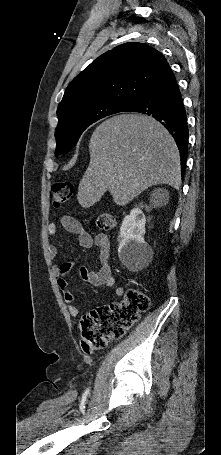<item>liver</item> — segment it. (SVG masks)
Returning a JSON list of instances; mask_svg holds the SVG:
<instances>
[{
	"label": "liver",
	"instance_id": "obj_1",
	"mask_svg": "<svg viewBox=\"0 0 221 455\" xmlns=\"http://www.w3.org/2000/svg\"><path fill=\"white\" fill-rule=\"evenodd\" d=\"M90 163L78 187L84 208L109 191L124 206L148 187L181 184L180 155L170 133L146 115L125 113L101 123L89 142Z\"/></svg>",
	"mask_w": 221,
	"mask_h": 455
}]
</instances>
